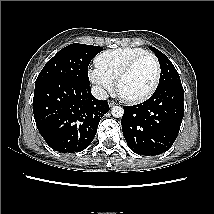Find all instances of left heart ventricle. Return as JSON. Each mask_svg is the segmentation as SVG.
<instances>
[{
	"label": "left heart ventricle",
	"instance_id": "left-heart-ventricle-1",
	"mask_svg": "<svg viewBox=\"0 0 214 214\" xmlns=\"http://www.w3.org/2000/svg\"><path fill=\"white\" fill-rule=\"evenodd\" d=\"M155 75L156 69L152 59L143 58L122 81L120 91L130 98L139 97L152 87Z\"/></svg>",
	"mask_w": 214,
	"mask_h": 214
}]
</instances>
